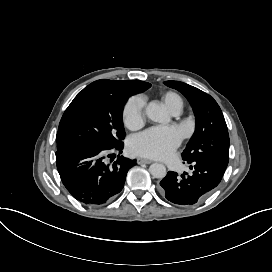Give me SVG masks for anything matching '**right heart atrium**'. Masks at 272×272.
Segmentation results:
<instances>
[{"instance_id": "obj_1", "label": "right heart atrium", "mask_w": 272, "mask_h": 272, "mask_svg": "<svg viewBox=\"0 0 272 272\" xmlns=\"http://www.w3.org/2000/svg\"><path fill=\"white\" fill-rule=\"evenodd\" d=\"M145 100L142 96L131 97L124 109V122L130 129H137L144 122Z\"/></svg>"}]
</instances>
